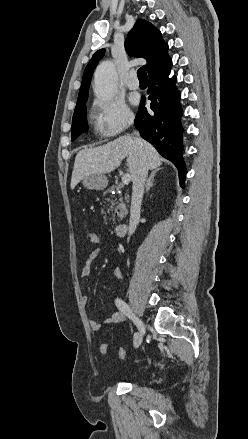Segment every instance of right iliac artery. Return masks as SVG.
<instances>
[{
    "mask_svg": "<svg viewBox=\"0 0 248 439\" xmlns=\"http://www.w3.org/2000/svg\"><path fill=\"white\" fill-rule=\"evenodd\" d=\"M115 304L120 311H122L129 319L134 322L135 328H140L141 330H144L146 328L144 326V323L139 321V319L130 310V307L123 300L117 298L115 300ZM141 334H144V331H141Z\"/></svg>",
    "mask_w": 248,
    "mask_h": 439,
    "instance_id": "82829eb1",
    "label": "right iliac artery"
}]
</instances>
